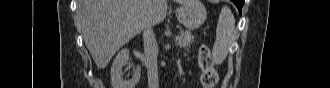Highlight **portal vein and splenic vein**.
<instances>
[{
  "label": "portal vein and splenic vein",
  "instance_id": "18ae733b",
  "mask_svg": "<svg viewBox=\"0 0 330 88\" xmlns=\"http://www.w3.org/2000/svg\"><path fill=\"white\" fill-rule=\"evenodd\" d=\"M179 39H180L179 37H176V38H175V41L177 42V41H179Z\"/></svg>",
  "mask_w": 330,
  "mask_h": 88
}]
</instances>
